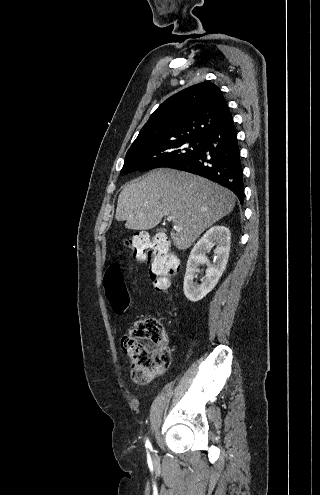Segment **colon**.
Instances as JSON below:
<instances>
[{
  "instance_id": "obj_1",
  "label": "colon",
  "mask_w": 320,
  "mask_h": 495,
  "mask_svg": "<svg viewBox=\"0 0 320 495\" xmlns=\"http://www.w3.org/2000/svg\"><path fill=\"white\" fill-rule=\"evenodd\" d=\"M134 257L150 265V275L157 290H166L178 271L177 258L170 251L165 236H150L138 232L126 240ZM106 298L114 312L121 314L129 306V294L122 270L117 263L108 266L103 277ZM121 347L131 360V377L136 384H146L165 371L170 362V351L164 341L162 327L155 318H145L121 338Z\"/></svg>"
}]
</instances>
